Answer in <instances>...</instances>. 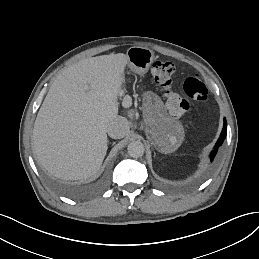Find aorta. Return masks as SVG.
I'll list each match as a JSON object with an SVG mask.
<instances>
[{
  "label": "aorta",
  "instance_id": "1",
  "mask_svg": "<svg viewBox=\"0 0 259 259\" xmlns=\"http://www.w3.org/2000/svg\"><path fill=\"white\" fill-rule=\"evenodd\" d=\"M128 154L133 158H139L143 156L145 148L141 141H133L128 145Z\"/></svg>",
  "mask_w": 259,
  "mask_h": 259
}]
</instances>
